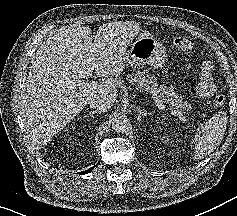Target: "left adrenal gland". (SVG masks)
Segmentation results:
<instances>
[{
    "mask_svg": "<svg viewBox=\"0 0 237 216\" xmlns=\"http://www.w3.org/2000/svg\"><path fill=\"white\" fill-rule=\"evenodd\" d=\"M138 111H139V114H138V117H137V121H139L141 118L145 117V113L142 110H138Z\"/></svg>",
    "mask_w": 237,
    "mask_h": 216,
    "instance_id": "1",
    "label": "left adrenal gland"
}]
</instances>
